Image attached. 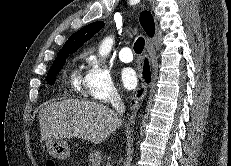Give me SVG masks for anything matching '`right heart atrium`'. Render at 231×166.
Returning a JSON list of instances; mask_svg holds the SVG:
<instances>
[{
    "label": "right heart atrium",
    "instance_id": "obj_1",
    "mask_svg": "<svg viewBox=\"0 0 231 166\" xmlns=\"http://www.w3.org/2000/svg\"><path fill=\"white\" fill-rule=\"evenodd\" d=\"M86 61L88 64L84 76L86 94L97 101L118 99L119 91L103 62L92 53L86 55Z\"/></svg>",
    "mask_w": 231,
    "mask_h": 166
}]
</instances>
